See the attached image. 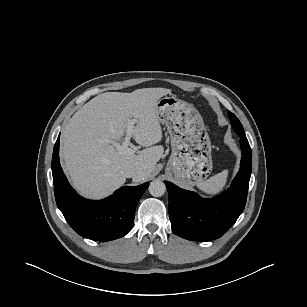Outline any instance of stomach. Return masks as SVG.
Returning <instances> with one entry per match:
<instances>
[{"mask_svg":"<svg viewBox=\"0 0 307 307\" xmlns=\"http://www.w3.org/2000/svg\"><path fill=\"white\" fill-rule=\"evenodd\" d=\"M157 113L171 139L166 172L185 187L205 181L213 168L212 146L200 113L174 95L158 100Z\"/></svg>","mask_w":307,"mask_h":307,"instance_id":"obj_1","label":"stomach"}]
</instances>
